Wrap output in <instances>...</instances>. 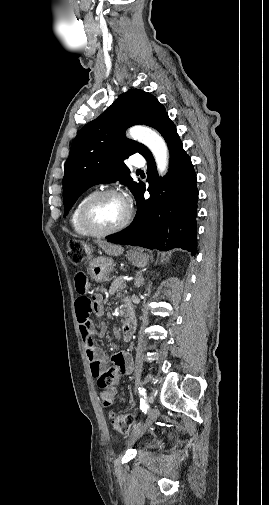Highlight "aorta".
I'll return each mask as SVG.
<instances>
[{
	"label": "aorta",
	"mask_w": 269,
	"mask_h": 505,
	"mask_svg": "<svg viewBox=\"0 0 269 505\" xmlns=\"http://www.w3.org/2000/svg\"><path fill=\"white\" fill-rule=\"evenodd\" d=\"M128 134L130 138L149 148L155 158L159 175H165L169 165V154L164 139L155 130L145 126H134L129 129Z\"/></svg>",
	"instance_id": "aorta-1"
}]
</instances>
